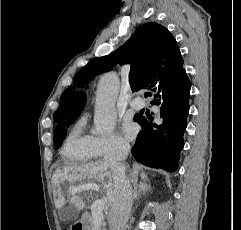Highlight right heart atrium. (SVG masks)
<instances>
[{"label":"right heart atrium","mask_w":241,"mask_h":230,"mask_svg":"<svg viewBox=\"0 0 241 230\" xmlns=\"http://www.w3.org/2000/svg\"><path fill=\"white\" fill-rule=\"evenodd\" d=\"M95 146L101 157H121L129 150V143L119 134L95 137Z\"/></svg>","instance_id":"d8ad5b80"}]
</instances>
